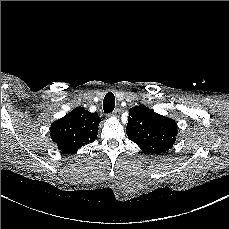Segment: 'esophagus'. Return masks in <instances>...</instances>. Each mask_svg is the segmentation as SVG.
I'll return each instance as SVG.
<instances>
[{
    "label": "esophagus",
    "mask_w": 229,
    "mask_h": 229,
    "mask_svg": "<svg viewBox=\"0 0 229 229\" xmlns=\"http://www.w3.org/2000/svg\"><path fill=\"white\" fill-rule=\"evenodd\" d=\"M112 115H113L114 117H118V116L120 115V109L116 108V109L113 111Z\"/></svg>",
    "instance_id": "34e87169"
}]
</instances>
